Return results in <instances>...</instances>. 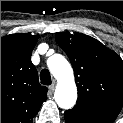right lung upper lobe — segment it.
Segmentation results:
<instances>
[{
    "label": "right lung upper lobe",
    "instance_id": "cb5924a9",
    "mask_svg": "<svg viewBox=\"0 0 123 123\" xmlns=\"http://www.w3.org/2000/svg\"><path fill=\"white\" fill-rule=\"evenodd\" d=\"M38 36L10 34L1 37V123H33L47 87L41 86L31 62Z\"/></svg>",
    "mask_w": 123,
    "mask_h": 123
}]
</instances>
